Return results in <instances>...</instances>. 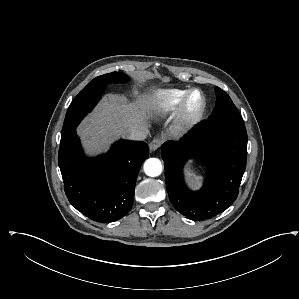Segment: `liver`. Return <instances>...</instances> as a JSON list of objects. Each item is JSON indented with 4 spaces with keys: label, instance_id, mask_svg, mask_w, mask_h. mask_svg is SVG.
I'll return each mask as SVG.
<instances>
[{
    "label": "liver",
    "instance_id": "1",
    "mask_svg": "<svg viewBox=\"0 0 299 299\" xmlns=\"http://www.w3.org/2000/svg\"><path fill=\"white\" fill-rule=\"evenodd\" d=\"M156 109V103L149 95L139 96L130 103L123 97L109 94L96 107L82 129L90 144L88 151L105 150L113 139L127 137L130 127L135 124L146 126Z\"/></svg>",
    "mask_w": 299,
    "mask_h": 299
}]
</instances>
